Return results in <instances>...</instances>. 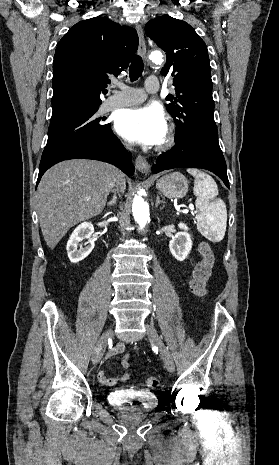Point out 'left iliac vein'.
<instances>
[{"mask_svg": "<svg viewBox=\"0 0 279 465\" xmlns=\"http://www.w3.org/2000/svg\"><path fill=\"white\" fill-rule=\"evenodd\" d=\"M146 333L148 335L149 340L159 349L160 355L164 361L166 369L169 372L173 373L175 370V367H174L172 357L167 347L165 346L163 340L157 333L156 329L152 325L146 324Z\"/></svg>", "mask_w": 279, "mask_h": 465, "instance_id": "obj_1", "label": "left iliac vein"}]
</instances>
